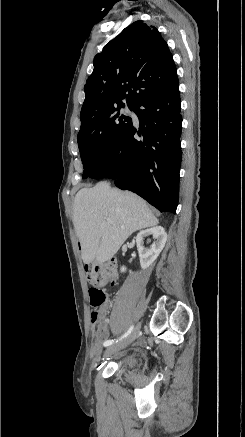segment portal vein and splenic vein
Returning <instances> with one entry per match:
<instances>
[{
	"instance_id": "portal-vein-and-splenic-vein-1",
	"label": "portal vein and splenic vein",
	"mask_w": 245,
	"mask_h": 437,
	"mask_svg": "<svg viewBox=\"0 0 245 437\" xmlns=\"http://www.w3.org/2000/svg\"><path fill=\"white\" fill-rule=\"evenodd\" d=\"M107 223H112V221L110 219H107Z\"/></svg>"
}]
</instances>
